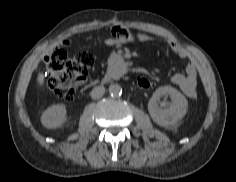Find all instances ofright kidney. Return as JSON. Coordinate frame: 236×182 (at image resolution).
<instances>
[{"label": "right kidney", "instance_id": "right-kidney-1", "mask_svg": "<svg viewBox=\"0 0 236 182\" xmlns=\"http://www.w3.org/2000/svg\"><path fill=\"white\" fill-rule=\"evenodd\" d=\"M66 121V108L64 105L56 104L48 107L41 116L44 127L52 129L60 127Z\"/></svg>", "mask_w": 236, "mask_h": 182}]
</instances>
